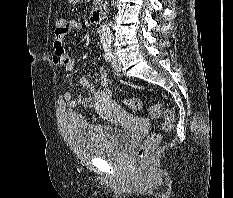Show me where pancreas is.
Returning <instances> with one entry per match:
<instances>
[{
  "label": "pancreas",
  "mask_w": 233,
  "mask_h": 198,
  "mask_svg": "<svg viewBox=\"0 0 233 198\" xmlns=\"http://www.w3.org/2000/svg\"><path fill=\"white\" fill-rule=\"evenodd\" d=\"M101 2H102V0H93V5H97V4L101 3Z\"/></svg>",
  "instance_id": "pancreas-1"
}]
</instances>
